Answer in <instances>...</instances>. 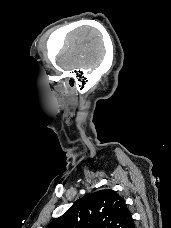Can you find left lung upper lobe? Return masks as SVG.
<instances>
[{
  "label": "left lung upper lobe",
  "mask_w": 171,
  "mask_h": 228,
  "mask_svg": "<svg viewBox=\"0 0 171 228\" xmlns=\"http://www.w3.org/2000/svg\"><path fill=\"white\" fill-rule=\"evenodd\" d=\"M130 218L124 199L104 189L77 200L47 228H124Z\"/></svg>",
  "instance_id": "left-lung-upper-lobe-1"
}]
</instances>
